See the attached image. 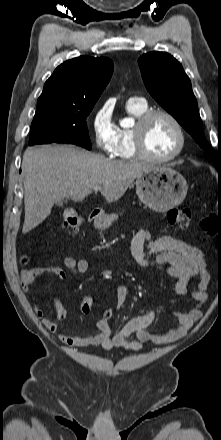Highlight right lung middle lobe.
<instances>
[{"label":"right lung middle lobe","instance_id":"dd1d6c3e","mask_svg":"<svg viewBox=\"0 0 221 440\" xmlns=\"http://www.w3.org/2000/svg\"><path fill=\"white\" fill-rule=\"evenodd\" d=\"M93 106H74L57 101L38 103L31 124L29 145L70 143L91 149L86 118Z\"/></svg>","mask_w":221,"mask_h":440}]
</instances>
